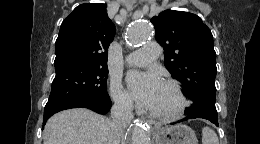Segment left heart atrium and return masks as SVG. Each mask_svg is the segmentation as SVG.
I'll use <instances>...</instances> for the list:
<instances>
[{
	"label": "left heart atrium",
	"mask_w": 260,
	"mask_h": 144,
	"mask_svg": "<svg viewBox=\"0 0 260 144\" xmlns=\"http://www.w3.org/2000/svg\"><path fill=\"white\" fill-rule=\"evenodd\" d=\"M127 82L133 97L142 105L151 107L161 82L153 74L133 72L128 75Z\"/></svg>",
	"instance_id": "39dd6f15"
}]
</instances>
